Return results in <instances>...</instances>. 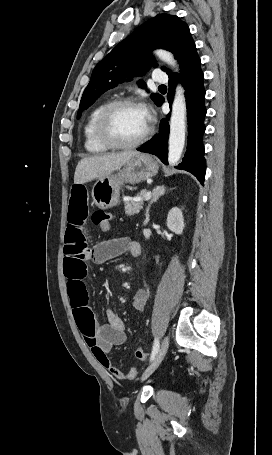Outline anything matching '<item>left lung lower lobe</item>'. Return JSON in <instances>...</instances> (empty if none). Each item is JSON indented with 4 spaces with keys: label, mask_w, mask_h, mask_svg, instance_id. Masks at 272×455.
<instances>
[{
    "label": "left lung lower lobe",
    "mask_w": 272,
    "mask_h": 455,
    "mask_svg": "<svg viewBox=\"0 0 272 455\" xmlns=\"http://www.w3.org/2000/svg\"><path fill=\"white\" fill-rule=\"evenodd\" d=\"M178 76L176 74L169 75V93L168 101L171 104L174 96V88L176 86ZM204 75L201 70L200 58L188 63L181 70V82L185 89V98L187 106L188 118V143L185 157L181 164L176 168L189 171L197 177L203 185L205 178V159L204 146L202 137L205 131L204 117L206 115V108L204 105L205 90L203 87ZM164 102L162 97L157 103L160 106ZM169 115L166 119L160 122V130L157 135L145 145L138 148V151L156 155L164 164L167 162L168 153V135H169Z\"/></svg>",
    "instance_id": "obj_1"
}]
</instances>
